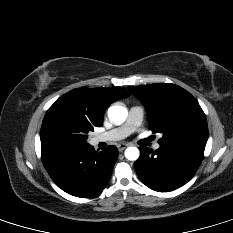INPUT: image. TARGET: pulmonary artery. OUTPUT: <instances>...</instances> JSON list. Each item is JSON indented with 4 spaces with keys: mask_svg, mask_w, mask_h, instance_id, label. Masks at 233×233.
I'll return each instance as SVG.
<instances>
[{
    "mask_svg": "<svg viewBox=\"0 0 233 233\" xmlns=\"http://www.w3.org/2000/svg\"><path fill=\"white\" fill-rule=\"evenodd\" d=\"M143 115L144 112L142 107L132 106L129 110L128 118L124 124L109 131L97 134L93 138V141L95 143L112 142L126 138L132 132H134L137 127L141 125L143 120ZM159 147L160 145L158 143L154 144L155 149H158Z\"/></svg>",
    "mask_w": 233,
    "mask_h": 233,
    "instance_id": "e3ab8cb5",
    "label": "pulmonary artery"
}]
</instances>
